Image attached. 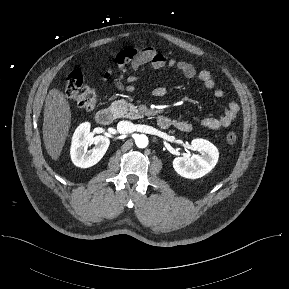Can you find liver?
Listing matches in <instances>:
<instances>
[{
  "label": "liver",
  "instance_id": "6515ba94",
  "mask_svg": "<svg viewBox=\"0 0 289 289\" xmlns=\"http://www.w3.org/2000/svg\"><path fill=\"white\" fill-rule=\"evenodd\" d=\"M71 125V108L64 94L56 88L48 92L44 108L43 140L47 153L58 161Z\"/></svg>",
  "mask_w": 289,
  "mask_h": 289
}]
</instances>
